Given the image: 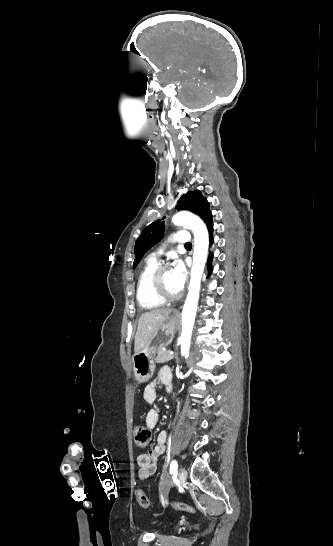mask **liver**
Segmentation results:
<instances>
[{"label":"liver","instance_id":"1","mask_svg":"<svg viewBox=\"0 0 333 546\" xmlns=\"http://www.w3.org/2000/svg\"><path fill=\"white\" fill-rule=\"evenodd\" d=\"M172 309L160 308L143 313L138 320L134 351H141L153 338L158 328L168 319Z\"/></svg>","mask_w":333,"mask_h":546}]
</instances>
